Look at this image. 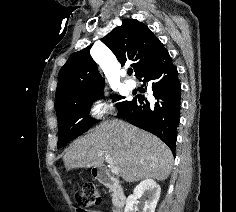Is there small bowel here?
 Masks as SVG:
<instances>
[{"label": "small bowel", "instance_id": "c3829d8e", "mask_svg": "<svg viewBox=\"0 0 236 212\" xmlns=\"http://www.w3.org/2000/svg\"><path fill=\"white\" fill-rule=\"evenodd\" d=\"M91 212H96V211H91ZM113 212H116L115 210H113Z\"/></svg>", "mask_w": 236, "mask_h": 212}]
</instances>
